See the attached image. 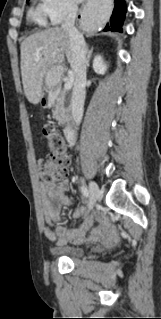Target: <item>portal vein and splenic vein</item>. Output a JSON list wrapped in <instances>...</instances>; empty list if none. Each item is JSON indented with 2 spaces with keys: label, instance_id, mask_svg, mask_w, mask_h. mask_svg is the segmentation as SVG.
Here are the masks:
<instances>
[{
  "label": "portal vein and splenic vein",
  "instance_id": "portal-vein-and-splenic-vein-1",
  "mask_svg": "<svg viewBox=\"0 0 161 319\" xmlns=\"http://www.w3.org/2000/svg\"><path fill=\"white\" fill-rule=\"evenodd\" d=\"M39 59H40V56L37 57V60H39ZM68 77L69 78L64 85L65 90H70L72 85H73V81H74L73 73L71 71L68 72Z\"/></svg>",
  "mask_w": 161,
  "mask_h": 319
}]
</instances>
